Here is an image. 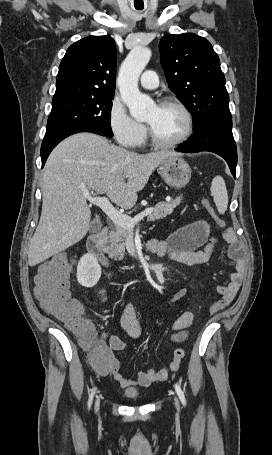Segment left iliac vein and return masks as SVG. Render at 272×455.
I'll return each mask as SVG.
<instances>
[{
  "instance_id": "left-iliac-vein-1",
  "label": "left iliac vein",
  "mask_w": 272,
  "mask_h": 455,
  "mask_svg": "<svg viewBox=\"0 0 272 455\" xmlns=\"http://www.w3.org/2000/svg\"><path fill=\"white\" fill-rule=\"evenodd\" d=\"M175 405H176V408H179V403H178L177 399H175Z\"/></svg>"
}]
</instances>
